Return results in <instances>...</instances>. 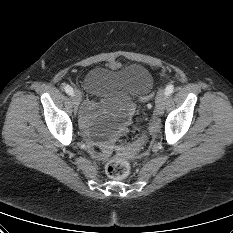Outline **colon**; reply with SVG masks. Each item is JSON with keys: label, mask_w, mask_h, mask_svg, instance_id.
<instances>
[{"label": "colon", "mask_w": 233, "mask_h": 233, "mask_svg": "<svg viewBox=\"0 0 233 233\" xmlns=\"http://www.w3.org/2000/svg\"><path fill=\"white\" fill-rule=\"evenodd\" d=\"M153 95L152 94H148L144 97L141 98V101L144 104H148L151 99H152ZM146 138L145 136L142 134L140 135L136 141H134L133 143L124 146L123 148H121V152L124 154H128V155H136L139 154L145 144ZM131 167L130 164L124 160L123 158H115L113 160H111L107 165H106V173L107 175L112 178V179H116V180H120V179H124L126 178L129 173H130Z\"/></svg>", "instance_id": "obj_1"}]
</instances>
